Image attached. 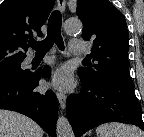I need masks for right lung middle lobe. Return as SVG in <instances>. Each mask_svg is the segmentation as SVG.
I'll return each instance as SVG.
<instances>
[{
	"label": "right lung middle lobe",
	"instance_id": "dd1d6c3e",
	"mask_svg": "<svg viewBox=\"0 0 144 137\" xmlns=\"http://www.w3.org/2000/svg\"><path fill=\"white\" fill-rule=\"evenodd\" d=\"M20 64L21 63H18L6 69L0 70V79L7 77H19L28 73L29 70H22Z\"/></svg>",
	"mask_w": 144,
	"mask_h": 137
}]
</instances>
